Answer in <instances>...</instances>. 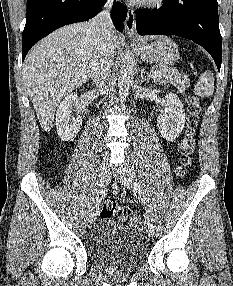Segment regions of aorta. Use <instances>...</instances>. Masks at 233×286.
I'll return each mask as SVG.
<instances>
[{"label": "aorta", "mask_w": 233, "mask_h": 286, "mask_svg": "<svg viewBox=\"0 0 233 286\" xmlns=\"http://www.w3.org/2000/svg\"><path fill=\"white\" fill-rule=\"evenodd\" d=\"M135 58L132 51L127 50L121 60L118 77L119 100L121 103L126 101L130 85L133 82Z\"/></svg>", "instance_id": "762f6f07"}]
</instances>
